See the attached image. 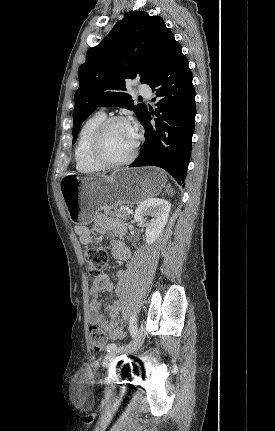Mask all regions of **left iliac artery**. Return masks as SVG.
<instances>
[{
  "mask_svg": "<svg viewBox=\"0 0 275 431\" xmlns=\"http://www.w3.org/2000/svg\"><path fill=\"white\" fill-rule=\"evenodd\" d=\"M129 331L132 338H135L137 335V318L134 314L131 315L129 320ZM117 345L115 343H111L107 346V351L110 352L112 350H116Z\"/></svg>",
  "mask_w": 275,
  "mask_h": 431,
  "instance_id": "44dca946",
  "label": "left iliac artery"
}]
</instances>
